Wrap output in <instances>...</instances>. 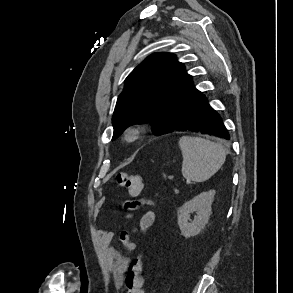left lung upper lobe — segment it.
Instances as JSON below:
<instances>
[{"label": "left lung upper lobe", "instance_id": "1", "mask_svg": "<svg viewBox=\"0 0 293 293\" xmlns=\"http://www.w3.org/2000/svg\"><path fill=\"white\" fill-rule=\"evenodd\" d=\"M202 93L172 53H154L126 78L112 123L116 139L128 126L149 122L155 135L172 132L184 109Z\"/></svg>", "mask_w": 293, "mask_h": 293}]
</instances>
